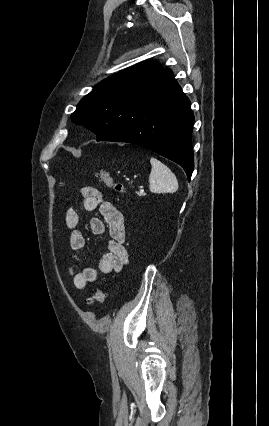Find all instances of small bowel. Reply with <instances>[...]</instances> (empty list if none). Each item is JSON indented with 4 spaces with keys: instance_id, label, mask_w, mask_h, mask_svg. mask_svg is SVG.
I'll list each match as a JSON object with an SVG mask.
<instances>
[{
    "instance_id": "small-bowel-1",
    "label": "small bowel",
    "mask_w": 269,
    "mask_h": 426,
    "mask_svg": "<svg viewBox=\"0 0 269 426\" xmlns=\"http://www.w3.org/2000/svg\"><path fill=\"white\" fill-rule=\"evenodd\" d=\"M83 207L86 211L98 208L100 217L90 219L89 225L93 235H102L107 229L109 234L108 252L101 256L97 262V269L83 266L79 256L85 245V237L79 229L80 216L74 209H68L64 215L65 225L71 230L70 250L72 263L67 272L73 285L78 290H84L88 284L97 280L98 271L103 274L119 272L128 263V254L124 246L125 223L122 214L107 201L101 191L92 186L81 189Z\"/></svg>"
}]
</instances>
